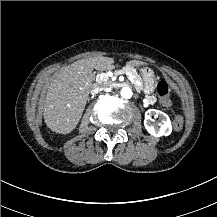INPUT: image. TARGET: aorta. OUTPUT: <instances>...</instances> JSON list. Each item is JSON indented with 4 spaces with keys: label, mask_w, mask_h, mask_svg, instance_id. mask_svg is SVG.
Here are the masks:
<instances>
[{
    "label": "aorta",
    "mask_w": 217,
    "mask_h": 217,
    "mask_svg": "<svg viewBox=\"0 0 217 217\" xmlns=\"http://www.w3.org/2000/svg\"><path fill=\"white\" fill-rule=\"evenodd\" d=\"M133 93H132V90L131 88L129 87H123L121 90H120V96L122 98H125V99H130L132 97Z\"/></svg>",
    "instance_id": "obj_1"
}]
</instances>
